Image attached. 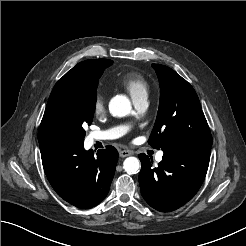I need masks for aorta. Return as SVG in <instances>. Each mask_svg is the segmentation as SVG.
I'll return each mask as SVG.
<instances>
[{"label": "aorta", "mask_w": 246, "mask_h": 246, "mask_svg": "<svg viewBox=\"0 0 246 246\" xmlns=\"http://www.w3.org/2000/svg\"><path fill=\"white\" fill-rule=\"evenodd\" d=\"M109 110L114 116L124 117L131 113L132 106L126 96L117 95L111 99ZM123 168L128 174H136L140 169V161L136 157H128L124 160Z\"/></svg>", "instance_id": "1"}]
</instances>
